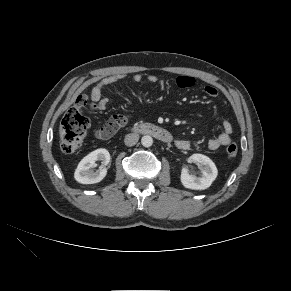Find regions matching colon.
<instances>
[{
	"label": "colon",
	"instance_id": "obj_1",
	"mask_svg": "<svg viewBox=\"0 0 291 291\" xmlns=\"http://www.w3.org/2000/svg\"><path fill=\"white\" fill-rule=\"evenodd\" d=\"M90 99L81 96L77 104L70 108L63 117L60 124V148L65 153L75 152L83 143L89 128V120L83 114L82 107ZM123 124L120 117L112 118L106 125L111 134L115 133ZM226 154L229 158H234L238 154V147L234 142H230L226 146Z\"/></svg>",
	"mask_w": 291,
	"mask_h": 291
}]
</instances>
